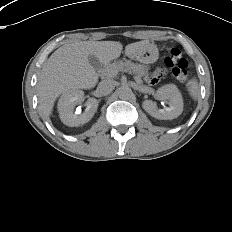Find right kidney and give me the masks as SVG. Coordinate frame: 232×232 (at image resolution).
<instances>
[{
    "mask_svg": "<svg viewBox=\"0 0 232 232\" xmlns=\"http://www.w3.org/2000/svg\"><path fill=\"white\" fill-rule=\"evenodd\" d=\"M84 100V92L78 89L64 92L58 100V112L61 121L70 127L85 124L91 120L98 108V101L95 98H89L85 103L86 109L81 112L75 106L81 104Z\"/></svg>",
    "mask_w": 232,
    "mask_h": 232,
    "instance_id": "ca27d5eb",
    "label": "right kidney"
}]
</instances>
